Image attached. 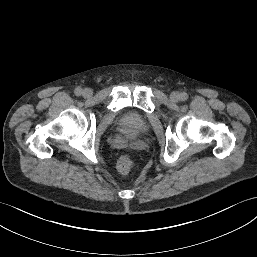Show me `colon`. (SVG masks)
<instances>
[{
	"instance_id": "obj_1",
	"label": "colon",
	"mask_w": 257,
	"mask_h": 257,
	"mask_svg": "<svg viewBox=\"0 0 257 257\" xmlns=\"http://www.w3.org/2000/svg\"><path fill=\"white\" fill-rule=\"evenodd\" d=\"M135 167V162L128 154L122 155L117 161V168L123 174L130 173Z\"/></svg>"
}]
</instances>
